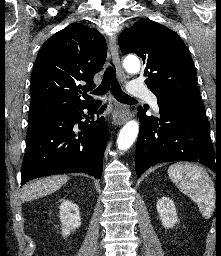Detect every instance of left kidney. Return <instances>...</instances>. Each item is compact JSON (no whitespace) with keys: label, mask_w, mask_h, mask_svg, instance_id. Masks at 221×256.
I'll return each instance as SVG.
<instances>
[{"label":"left kidney","mask_w":221,"mask_h":256,"mask_svg":"<svg viewBox=\"0 0 221 256\" xmlns=\"http://www.w3.org/2000/svg\"><path fill=\"white\" fill-rule=\"evenodd\" d=\"M156 207L162 225L165 228H172L178 221L174 202L169 197H162L157 201Z\"/></svg>","instance_id":"5707ae66"}]
</instances>
